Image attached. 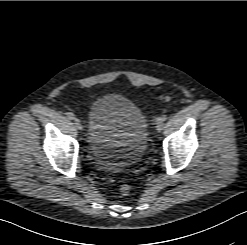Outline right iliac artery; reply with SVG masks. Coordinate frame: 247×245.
I'll return each instance as SVG.
<instances>
[{
  "label": "right iliac artery",
  "instance_id": "82829eb1",
  "mask_svg": "<svg viewBox=\"0 0 247 245\" xmlns=\"http://www.w3.org/2000/svg\"><path fill=\"white\" fill-rule=\"evenodd\" d=\"M66 115L71 120L75 119V115L72 112H67Z\"/></svg>",
  "mask_w": 247,
  "mask_h": 245
}]
</instances>
